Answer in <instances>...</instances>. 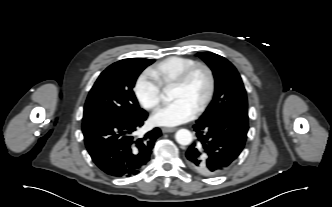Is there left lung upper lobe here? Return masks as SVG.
Segmentation results:
<instances>
[{"mask_svg":"<svg viewBox=\"0 0 332 207\" xmlns=\"http://www.w3.org/2000/svg\"><path fill=\"white\" fill-rule=\"evenodd\" d=\"M212 69L215 78L214 97L199 120L210 121L228 113L247 114V96L236 68L224 57L211 53L197 54Z\"/></svg>","mask_w":332,"mask_h":207,"instance_id":"5c2ea615","label":"left lung upper lobe"}]
</instances>
